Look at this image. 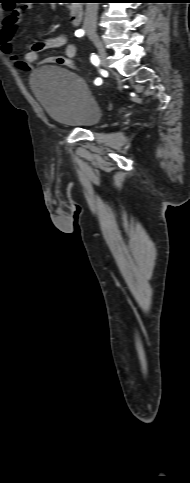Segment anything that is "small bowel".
<instances>
[{
	"mask_svg": "<svg viewBox=\"0 0 190 483\" xmlns=\"http://www.w3.org/2000/svg\"><path fill=\"white\" fill-rule=\"evenodd\" d=\"M28 9L27 5L13 9L7 14L0 27V49L8 59L21 70H30L34 63L38 62L41 53L48 49L63 47L64 56H51L40 61L42 64H58L66 67L74 66L76 55V45L68 40L64 34L50 37L42 41L35 42L24 58L18 57L14 53L12 38L21 21L23 12Z\"/></svg>",
	"mask_w": 190,
	"mask_h": 483,
	"instance_id": "1",
	"label": "small bowel"
}]
</instances>
